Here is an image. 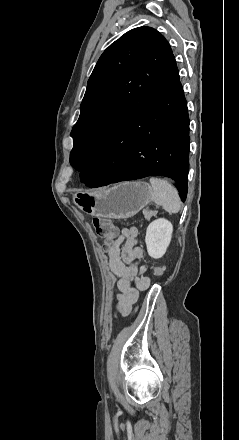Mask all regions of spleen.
Instances as JSON below:
<instances>
[{"label": "spleen", "mask_w": 239, "mask_h": 440, "mask_svg": "<svg viewBox=\"0 0 239 440\" xmlns=\"http://www.w3.org/2000/svg\"><path fill=\"white\" fill-rule=\"evenodd\" d=\"M150 184L153 190V202L158 206H162L163 210H166L169 214H177L182 202L176 188L171 186L167 180H160V178H150Z\"/></svg>", "instance_id": "spleen-1"}]
</instances>
